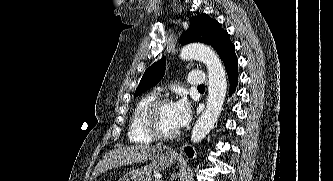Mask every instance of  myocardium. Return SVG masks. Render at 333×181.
<instances>
[{"instance_id": "f54148a6", "label": "myocardium", "mask_w": 333, "mask_h": 181, "mask_svg": "<svg viewBox=\"0 0 333 181\" xmlns=\"http://www.w3.org/2000/svg\"><path fill=\"white\" fill-rule=\"evenodd\" d=\"M167 104H172V100L170 98H157L148 106L144 113V127L146 131L155 139L168 140L173 139L179 135V130L174 132H164L159 126V112L161 108Z\"/></svg>"}]
</instances>
